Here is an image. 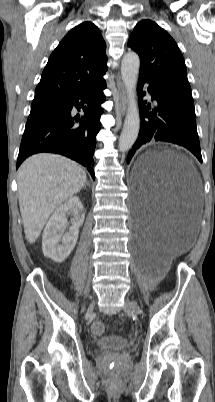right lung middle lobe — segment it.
<instances>
[{"label": "right lung middle lobe", "mask_w": 215, "mask_h": 402, "mask_svg": "<svg viewBox=\"0 0 215 402\" xmlns=\"http://www.w3.org/2000/svg\"><path fill=\"white\" fill-rule=\"evenodd\" d=\"M61 102L62 101L33 102L25 128L32 126L36 122L57 111L61 107Z\"/></svg>", "instance_id": "right-lung-middle-lobe-1"}]
</instances>
